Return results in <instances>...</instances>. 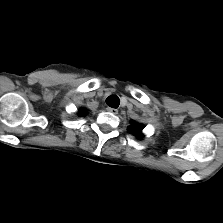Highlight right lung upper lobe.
Returning <instances> with one entry per match:
<instances>
[{
    "label": "right lung upper lobe",
    "mask_w": 223,
    "mask_h": 223,
    "mask_svg": "<svg viewBox=\"0 0 223 223\" xmlns=\"http://www.w3.org/2000/svg\"><path fill=\"white\" fill-rule=\"evenodd\" d=\"M86 113V109H81L80 111H79V114L80 115H84Z\"/></svg>",
    "instance_id": "obj_1"
}]
</instances>
